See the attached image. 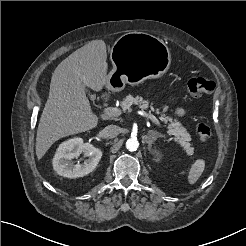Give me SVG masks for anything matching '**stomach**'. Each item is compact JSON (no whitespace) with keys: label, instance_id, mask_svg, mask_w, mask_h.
Returning a JSON list of instances; mask_svg holds the SVG:
<instances>
[{"label":"stomach","instance_id":"1","mask_svg":"<svg viewBox=\"0 0 246 246\" xmlns=\"http://www.w3.org/2000/svg\"><path fill=\"white\" fill-rule=\"evenodd\" d=\"M113 69L107 75L106 87L121 91L126 83L138 84L145 79L159 78L171 64L166 44L159 38L143 32L122 35L110 53Z\"/></svg>","mask_w":246,"mask_h":246}]
</instances>
